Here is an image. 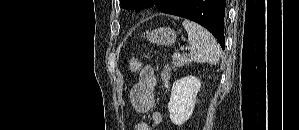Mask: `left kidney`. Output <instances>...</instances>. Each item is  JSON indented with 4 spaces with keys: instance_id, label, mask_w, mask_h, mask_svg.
<instances>
[{
    "instance_id": "obj_1",
    "label": "left kidney",
    "mask_w": 299,
    "mask_h": 130,
    "mask_svg": "<svg viewBox=\"0 0 299 130\" xmlns=\"http://www.w3.org/2000/svg\"><path fill=\"white\" fill-rule=\"evenodd\" d=\"M201 82L195 76H187L174 82L168 103L172 123L184 124L192 115Z\"/></svg>"
}]
</instances>
